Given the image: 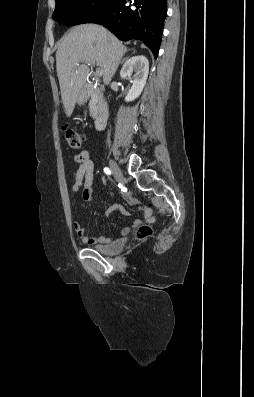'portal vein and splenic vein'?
Segmentation results:
<instances>
[{
  "mask_svg": "<svg viewBox=\"0 0 254 397\" xmlns=\"http://www.w3.org/2000/svg\"><path fill=\"white\" fill-rule=\"evenodd\" d=\"M84 63L85 64H87V65H89V66H94L95 65V62L93 61V60H86V61H84ZM80 64H77V66H79ZM102 74H103V71H102V69H96L95 70V73H94V75L96 76V77H99V76H102Z\"/></svg>",
  "mask_w": 254,
  "mask_h": 397,
  "instance_id": "1",
  "label": "portal vein and splenic vein"
}]
</instances>
